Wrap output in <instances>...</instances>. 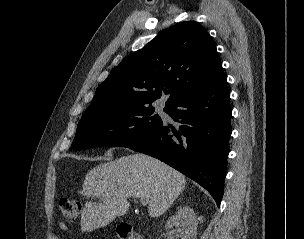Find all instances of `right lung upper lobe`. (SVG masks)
Listing matches in <instances>:
<instances>
[{"label":"right lung upper lobe","mask_w":304,"mask_h":239,"mask_svg":"<svg viewBox=\"0 0 304 239\" xmlns=\"http://www.w3.org/2000/svg\"><path fill=\"white\" fill-rule=\"evenodd\" d=\"M222 72L216 45L195 21L168 28L125 57L101 83L82 118L108 109L148 105L168 94L165 107Z\"/></svg>","instance_id":"1"}]
</instances>
